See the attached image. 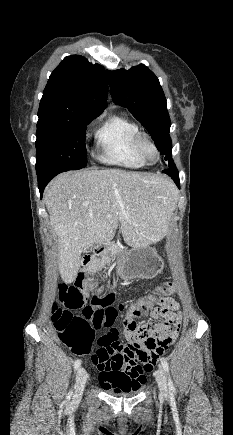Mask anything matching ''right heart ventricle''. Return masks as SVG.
<instances>
[{"instance_id": "right-heart-ventricle-1", "label": "right heart ventricle", "mask_w": 233, "mask_h": 435, "mask_svg": "<svg viewBox=\"0 0 233 435\" xmlns=\"http://www.w3.org/2000/svg\"><path fill=\"white\" fill-rule=\"evenodd\" d=\"M140 134L136 123L121 114L108 117L96 132L101 149L100 160L126 168H141L146 162L141 157L137 137Z\"/></svg>"}]
</instances>
